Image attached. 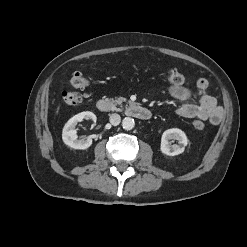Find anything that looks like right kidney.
Segmentation results:
<instances>
[{"instance_id": "1", "label": "right kidney", "mask_w": 247, "mask_h": 247, "mask_svg": "<svg viewBox=\"0 0 247 247\" xmlns=\"http://www.w3.org/2000/svg\"><path fill=\"white\" fill-rule=\"evenodd\" d=\"M83 119L87 120H93L96 122V115L92 112L85 111L76 114L72 118L68 120V122L65 124L63 131H62V139L63 142L73 148V149H87L92 145V139H77V131H76V126L78 122H81Z\"/></svg>"}]
</instances>
